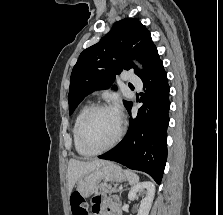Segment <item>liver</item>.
<instances>
[{
  "label": "liver",
  "mask_w": 223,
  "mask_h": 215,
  "mask_svg": "<svg viewBox=\"0 0 223 215\" xmlns=\"http://www.w3.org/2000/svg\"><path fill=\"white\" fill-rule=\"evenodd\" d=\"M102 163H105V159H92V161H79V159H69L68 163V195H71V191L78 181L79 177H82L84 173H90L97 167H100Z\"/></svg>",
  "instance_id": "1"
}]
</instances>
